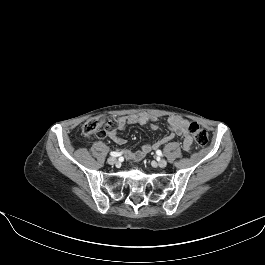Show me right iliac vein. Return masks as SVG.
Returning <instances> with one entry per match:
<instances>
[{
  "instance_id": "1",
  "label": "right iliac vein",
  "mask_w": 265,
  "mask_h": 265,
  "mask_svg": "<svg viewBox=\"0 0 265 265\" xmlns=\"http://www.w3.org/2000/svg\"><path fill=\"white\" fill-rule=\"evenodd\" d=\"M108 163L110 165H115L117 163V159L115 157L108 158Z\"/></svg>"
}]
</instances>
